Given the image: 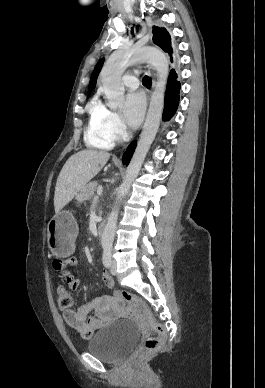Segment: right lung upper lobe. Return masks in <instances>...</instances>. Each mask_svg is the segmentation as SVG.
<instances>
[{"mask_svg":"<svg viewBox=\"0 0 265 388\" xmlns=\"http://www.w3.org/2000/svg\"><path fill=\"white\" fill-rule=\"evenodd\" d=\"M103 62H104V59H101L97 63V65L95 66V69H94V71L91 75V79H90V84H89V88H88L89 92H91L96 86L97 77H98V74L102 68Z\"/></svg>","mask_w":265,"mask_h":388,"instance_id":"right-lung-upper-lobe-1","label":"right lung upper lobe"}]
</instances>
